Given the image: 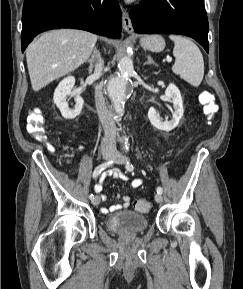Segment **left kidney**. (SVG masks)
I'll list each match as a JSON object with an SVG mask.
<instances>
[{"instance_id":"1","label":"left kidney","mask_w":243,"mask_h":289,"mask_svg":"<svg viewBox=\"0 0 243 289\" xmlns=\"http://www.w3.org/2000/svg\"><path fill=\"white\" fill-rule=\"evenodd\" d=\"M165 95L168 99L171 100L174 107L171 120L161 121L157 116L156 109L153 107H151L148 111V118L155 128L169 132L178 125L180 119L183 116L184 109L181 93L174 84L171 83L168 85L165 91Z\"/></svg>"}]
</instances>
